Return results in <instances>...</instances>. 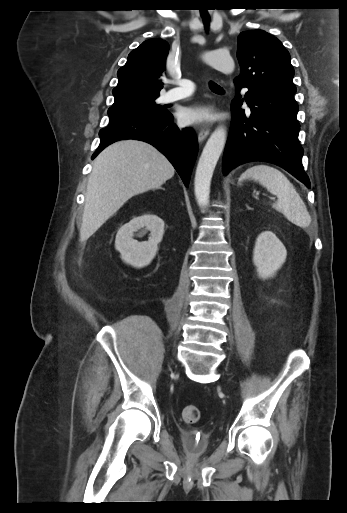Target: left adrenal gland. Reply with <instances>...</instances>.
Instances as JSON below:
<instances>
[{
    "mask_svg": "<svg viewBox=\"0 0 347 513\" xmlns=\"http://www.w3.org/2000/svg\"><path fill=\"white\" fill-rule=\"evenodd\" d=\"M246 208H247V209H250V207H249L247 204H246Z\"/></svg>",
    "mask_w": 347,
    "mask_h": 513,
    "instance_id": "obj_1",
    "label": "left adrenal gland"
}]
</instances>
